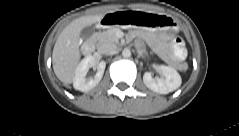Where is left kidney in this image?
Masks as SVG:
<instances>
[{"instance_id":"5707ae66","label":"left kidney","mask_w":239,"mask_h":136,"mask_svg":"<svg viewBox=\"0 0 239 136\" xmlns=\"http://www.w3.org/2000/svg\"><path fill=\"white\" fill-rule=\"evenodd\" d=\"M158 71L164 78L154 79L150 72H145L143 75V82L147 88L159 94H168L176 90L181 85V76L176 69L160 65Z\"/></svg>"}]
</instances>
